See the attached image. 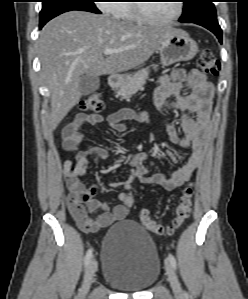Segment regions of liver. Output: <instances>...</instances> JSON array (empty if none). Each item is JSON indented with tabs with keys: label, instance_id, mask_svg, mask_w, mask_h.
<instances>
[{
	"label": "liver",
	"instance_id": "6515ba94",
	"mask_svg": "<svg viewBox=\"0 0 248 299\" xmlns=\"http://www.w3.org/2000/svg\"><path fill=\"white\" fill-rule=\"evenodd\" d=\"M174 30L84 11H69L49 21L40 32L38 54L41 75L50 91L52 130L79 103L82 75L98 77L135 68ZM107 48L123 51L104 57Z\"/></svg>",
	"mask_w": 248,
	"mask_h": 299
}]
</instances>
